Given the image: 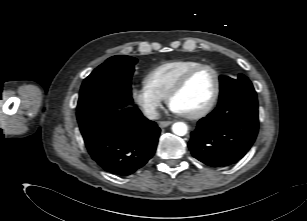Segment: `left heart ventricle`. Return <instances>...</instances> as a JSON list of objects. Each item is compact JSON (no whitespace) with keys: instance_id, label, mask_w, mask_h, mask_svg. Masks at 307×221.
I'll return each instance as SVG.
<instances>
[{"instance_id":"obj_1","label":"left heart ventricle","mask_w":307,"mask_h":221,"mask_svg":"<svg viewBox=\"0 0 307 221\" xmlns=\"http://www.w3.org/2000/svg\"><path fill=\"white\" fill-rule=\"evenodd\" d=\"M215 79L208 69L194 74L185 88L174 97L171 107L178 113L191 114L202 109L211 99Z\"/></svg>"}]
</instances>
